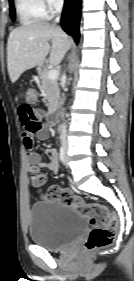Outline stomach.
Instances as JSON below:
<instances>
[{
  "instance_id": "0dacf381",
  "label": "stomach",
  "mask_w": 134,
  "mask_h": 281,
  "mask_svg": "<svg viewBox=\"0 0 134 281\" xmlns=\"http://www.w3.org/2000/svg\"><path fill=\"white\" fill-rule=\"evenodd\" d=\"M37 69H38V71H39V72H41V71H42V67H38Z\"/></svg>"
}]
</instances>
